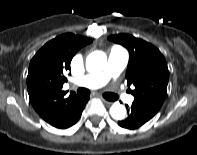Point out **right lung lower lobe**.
Returning a JSON list of instances; mask_svg holds the SVG:
<instances>
[{"label": "right lung lower lobe", "instance_id": "right-lung-lower-lobe-1", "mask_svg": "<svg viewBox=\"0 0 197 155\" xmlns=\"http://www.w3.org/2000/svg\"><path fill=\"white\" fill-rule=\"evenodd\" d=\"M88 100H89V97H80V99L72 107L68 115L58 125L54 127L65 129L74 125L80 118L82 111Z\"/></svg>", "mask_w": 197, "mask_h": 155}]
</instances>
